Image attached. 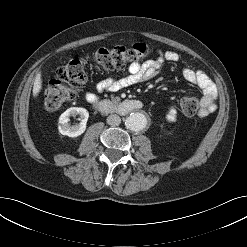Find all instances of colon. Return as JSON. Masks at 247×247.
Here are the masks:
<instances>
[{
  "label": "colon",
  "mask_w": 247,
  "mask_h": 247,
  "mask_svg": "<svg viewBox=\"0 0 247 247\" xmlns=\"http://www.w3.org/2000/svg\"><path fill=\"white\" fill-rule=\"evenodd\" d=\"M149 54L145 44H135L130 48L116 46L95 50L87 58H75L56 70L53 80L42 88L44 104L47 109H55L73 101L87 82L86 64L95 63L105 70L121 69L131 62H138ZM180 107L186 116L197 113L199 102L194 96L181 99Z\"/></svg>",
  "instance_id": "5ec220e1"
}]
</instances>
